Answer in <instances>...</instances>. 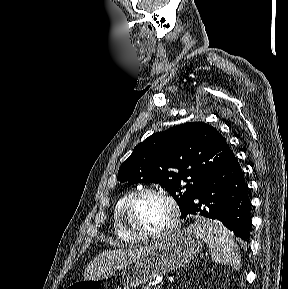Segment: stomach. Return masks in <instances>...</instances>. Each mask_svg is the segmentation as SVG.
Returning a JSON list of instances; mask_svg holds the SVG:
<instances>
[{
    "instance_id": "1",
    "label": "stomach",
    "mask_w": 288,
    "mask_h": 289,
    "mask_svg": "<svg viewBox=\"0 0 288 289\" xmlns=\"http://www.w3.org/2000/svg\"><path fill=\"white\" fill-rule=\"evenodd\" d=\"M203 241L193 226L178 229L146 247L127 265L71 284L68 289H133L188 264L200 252Z\"/></svg>"
}]
</instances>
